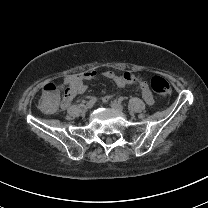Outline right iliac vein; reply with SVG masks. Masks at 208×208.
<instances>
[{"instance_id":"1","label":"right iliac vein","mask_w":208,"mask_h":208,"mask_svg":"<svg viewBox=\"0 0 208 208\" xmlns=\"http://www.w3.org/2000/svg\"><path fill=\"white\" fill-rule=\"evenodd\" d=\"M86 106H87L88 109H91L94 106V102L93 101H88Z\"/></svg>"}]
</instances>
